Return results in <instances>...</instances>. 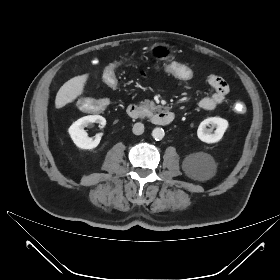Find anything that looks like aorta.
<instances>
[{
    "instance_id": "1",
    "label": "aorta",
    "mask_w": 280,
    "mask_h": 280,
    "mask_svg": "<svg viewBox=\"0 0 280 280\" xmlns=\"http://www.w3.org/2000/svg\"><path fill=\"white\" fill-rule=\"evenodd\" d=\"M152 137L157 141L162 140L164 137V130L158 127L154 128L152 131Z\"/></svg>"
}]
</instances>
